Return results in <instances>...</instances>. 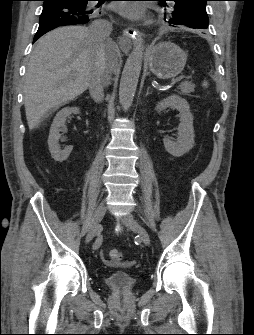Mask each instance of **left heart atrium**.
<instances>
[{
    "mask_svg": "<svg viewBox=\"0 0 254 335\" xmlns=\"http://www.w3.org/2000/svg\"><path fill=\"white\" fill-rule=\"evenodd\" d=\"M116 9L121 15L129 19H139L144 15L143 6L134 2H121Z\"/></svg>",
    "mask_w": 254,
    "mask_h": 335,
    "instance_id": "left-heart-atrium-1",
    "label": "left heart atrium"
}]
</instances>
